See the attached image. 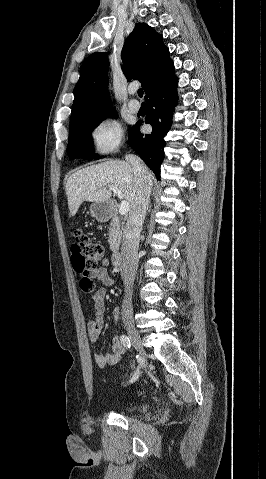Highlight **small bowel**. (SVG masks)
I'll list each match as a JSON object with an SVG mask.
<instances>
[{
	"label": "small bowel",
	"mask_w": 266,
	"mask_h": 479,
	"mask_svg": "<svg viewBox=\"0 0 266 479\" xmlns=\"http://www.w3.org/2000/svg\"><path fill=\"white\" fill-rule=\"evenodd\" d=\"M107 262L106 260L104 261ZM92 280L104 286H114L115 279L107 272L104 267H97L89 273ZM106 288L100 287L96 289L92 296L93 315L87 324L88 333L92 342H96L103 330V317L105 312ZM121 309L115 306L112 310L113 318H118ZM125 353L124 345L117 336L112 339L111 351L107 353H94V361L98 367L103 368L107 365H115L120 362Z\"/></svg>",
	"instance_id": "1"
}]
</instances>
